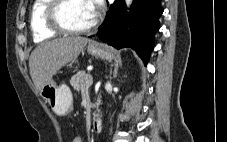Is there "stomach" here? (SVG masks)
Instances as JSON below:
<instances>
[{"label": "stomach", "mask_w": 227, "mask_h": 142, "mask_svg": "<svg viewBox=\"0 0 227 142\" xmlns=\"http://www.w3.org/2000/svg\"><path fill=\"white\" fill-rule=\"evenodd\" d=\"M87 49L90 54L101 59L112 60L115 57V52L102 44L89 42ZM40 95L56 114L66 115L71 111L72 93L66 84L57 85L51 78L43 85Z\"/></svg>", "instance_id": "stomach-1"}]
</instances>
